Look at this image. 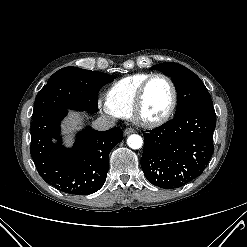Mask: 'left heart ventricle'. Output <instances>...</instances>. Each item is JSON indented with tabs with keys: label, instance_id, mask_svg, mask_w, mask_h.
I'll return each mask as SVG.
<instances>
[{
	"label": "left heart ventricle",
	"instance_id": "1",
	"mask_svg": "<svg viewBox=\"0 0 247 247\" xmlns=\"http://www.w3.org/2000/svg\"><path fill=\"white\" fill-rule=\"evenodd\" d=\"M172 101V90L164 78L153 79L145 93L142 117L149 120L158 119L169 109Z\"/></svg>",
	"mask_w": 247,
	"mask_h": 247
}]
</instances>
